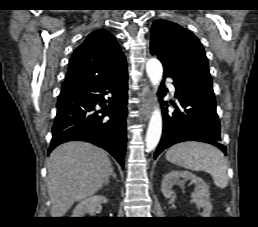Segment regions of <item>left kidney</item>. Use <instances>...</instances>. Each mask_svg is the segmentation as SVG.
<instances>
[{
	"label": "left kidney",
	"instance_id": "obj_1",
	"mask_svg": "<svg viewBox=\"0 0 258 227\" xmlns=\"http://www.w3.org/2000/svg\"><path fill=\"white\" fill-rule=\"evenodd\" d=\"M180 178L190 180L195 184V190L192 197L197 206L203 209L201 217H210L212 204L210 202V192L208 185L201 178L188 171H171L167 173L162 180V193L166 198H170L174 192L172 186L176 184Z\"/></svg>",
	"mask_w": 258,
	"mask_h": 227
}]
</instances>
